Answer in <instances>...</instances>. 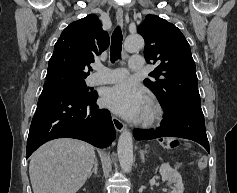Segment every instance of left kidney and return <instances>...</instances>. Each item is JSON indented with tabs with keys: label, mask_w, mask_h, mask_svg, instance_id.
Wrapping results in <instances>:
<instances>
[{
	"label": "left kidney",
	"mask_w": 237,
	"mask_h": 193,
	"mask_svg": "<svg viewBox=\"0 0 237 193\" xmlns=\"http://www.w3.org/2000/svg\"><path fill=\"white\" fill-rule=\"evenodd\" d=\"M159 172L163 181L174 183L171 193H183L184 185L180 173L173 169L169 164L164 163L160 166Z\"/></svg>",
	"instance_id": "left-kidney-1"
}]
</instances>
